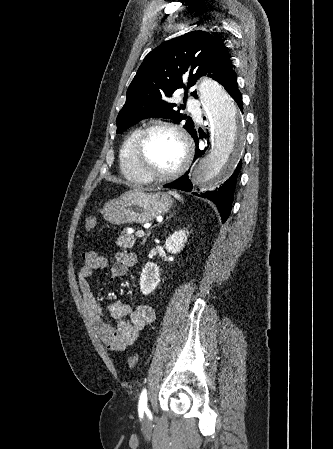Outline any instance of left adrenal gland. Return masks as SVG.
<instances>
[{"instance_id": "left-adrenal-gland-1", "label": "left adrenal gland", "mask_w": 333, "mask_h": 449, "mask_svg": "<svg viewBox=\"0 0 333 449\" xmlns=\"http://www.w3.org/2000/svg\"><path fill=\"white\" fill-rule=\"evenodd\" d=\"M173 216V214H171L167 219L171 218ZM150 232L147 234V236L143 239L142 244H145L147 237L149 236Z\"/></svg>"}]
</instances>
